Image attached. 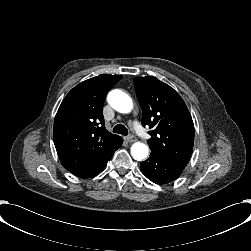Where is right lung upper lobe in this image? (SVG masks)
I'll use <instances>...</instances> for the list:
<instances>
[{"label": "right lung upper lobe", "mask_w": 251, "mask_h": 251, "mask_svg": "<svg viewBox=\"0 0 251 251\" xmlns=\"http://www.w3.org/2000/svg\"><path fill=\"white\" fill-rule=\"evenodd\" d=\"M122 78L101 74L74 87L54 121V144L66 170L82 179L104 169L123 139L105 129L103 105L108 91Z\"/></svg>", "instance_id": "1"}]
</instances>
